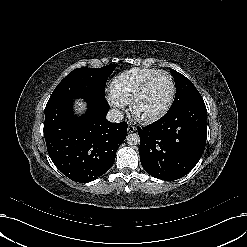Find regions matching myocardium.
<instances>
[{"instance_id": "f54148a6", "label": "myocardium", "mask_w": 247, "mask_h": 247, "mask_svg": "<svg viewBox=\"0 0 247 247\" xmlns=\"http://www.w3.org/2000/svg\"><path fill=\"white\" fill-rule=\"evenodd\" d=\"M160 75H165L169 78L170 83H171V91H170V95L167 99V101L165 102V104L157 111L149 113V114H140L137 112L136 110V104L138 102V100L141 98L142 94L144 93V91L146 90V88L150 85V83L158 76ZM175 82L174 79L172 77V75L164 70H160L158 72H156L155 74H153L152 76H150L141 86L140 88L136 91V93L133 95V97L131 98V100L129 101V113L131 114V116L139 121V122H143V123H149L151 121H154L155 119L161 117L163 114L166 113V111L169 109V107L171 106L174 96H175Z\"/></svg>"}]
</instances>
